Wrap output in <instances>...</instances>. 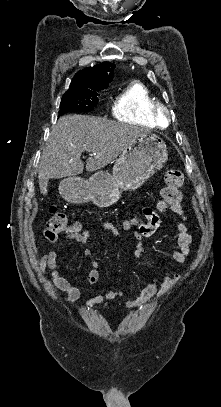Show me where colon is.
<instances>
[{
  "instance_id": "obj_1",
  "label": "colon",
  "mask_w": 221,
  "mask_h": 407,
  "mask_svg": "<svg viewBox=\"0 0 221 407\" xmlns=\"http://www.w3.org/2000/svg\"><path fill=\"white\" fill-rule=\"evenodd\" d=\"M184 184V175L178 169H169L164 175V186L160 190L157 209L160 211L173 207L182 199L181 188ZM152 210V209H151ZM155 212L154 210H152ZM50 218L46 222L43 237L46 240H55L65 232H76L78 225H70L65 213L59 212L55 207L50 208Z\"/></svg>"
}]
</instances>
